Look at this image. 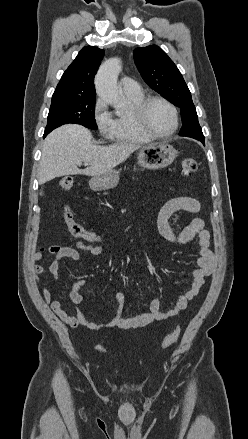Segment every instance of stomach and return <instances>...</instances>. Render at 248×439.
Listing matches in <instances>:
<instances>
[{
    "label": "stomach",
    "instance_id": "stomach-1",
    "mask_svg": "<svg viewBox=\"0 0 248 439\" xmlns=\"http://www.w3.org/2000/svg\"><path fill=\"white\" fill-rule=\"evenodd\" d=\"M177 156L176 149L166 142L142 146L138 152V163L146 169H162L169 166ZM119 182L116 170L94 176L89 181L92 190H107L114 188Z\"/></svg>",
    "mask_w": 248,
    "mask_h": 439
}]
</instances>
